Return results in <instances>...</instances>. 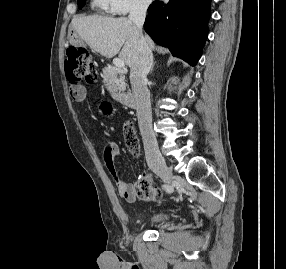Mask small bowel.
I'll return each instance as SVG.
<instances>
[{
	"instance_id": "obj_1",
	"label": "small bowel",
	"mask_w": 286,
	"mask_h": 269,
	"mask_svg": "<svg viewBox=\"0 0 286 269\" xmlns=\"http://www.w3.org/2000/svg\"><path fill=\"white\" fill-rule=\"evenodd\" d=\"M110 93H122V88H110ZM71 96L76 102H83L86 97L84 88L78 87L71 90ZM119 147L115 144H109L104 148L103 159L106 168L115 178L118 194L129 202L136 200L135 187L132 183L123 181L119 178L115 159L119 155ZM148 177H150L148 175Z\"/></svg>"
}]
</instances>
